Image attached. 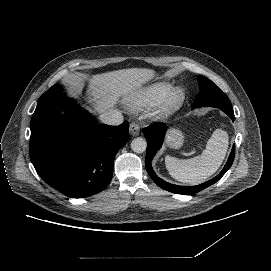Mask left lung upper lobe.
I'll return each mask as SVG.
<instances>
[{
  "mask_svg": "<svg viewBox=\"0 0 271 271\" xmlns=\"http://www.w3.org/2000/svg\"><path fill=\"white\" fill-rule=\"evenodd\" d=\"M200 92L192 108L215 107L221 110H233L227 96L208 78L198 75Z\"/></svg>",
  "mask_w": 271,
  "mask_h": 271,
  "instance_id": "obj_1",
  "label": "left lung upper lobe"
}]
</instances>
